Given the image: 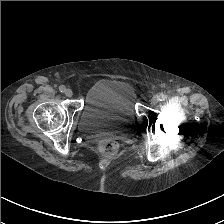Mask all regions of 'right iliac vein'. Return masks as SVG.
<instances>
[{"mask_svg": "<svg viewBox=\"0 0 224 224\" xmlns=\"http://www.w3.org/2000/svg\"><path fill=\"white\" fill-rule=\"evenodd\" d=\"M65 95H66L67 97H71V96L73 95V91H72L71 89H67V90L65 91Z\"/></svg>", "mask_w": 224, "mask_h": 224, "instance_id": "63e3f726", "label": "right iliac vein"}]
</instances>
